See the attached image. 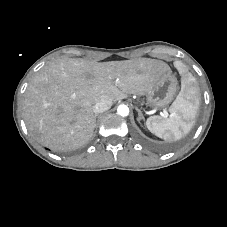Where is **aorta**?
Here are the masks:
<instances>
[{
	"label": "aorta",
	"instance_id": "762f6f07",
	"mask_svg": "<svg viewBox=\"0 0 227 227\" xmlns=\"http://www.w3.org/2000/svg\"><path fill=\"white\" fill-rule=\"evenodd\" d=\"M117 113L122 116V117H126L129 115V108L128 106L121 104L118 106L117 108Z\"/></svg>",
	"mask_w": 227,
	"mask_h": 227
}]
</instances>
